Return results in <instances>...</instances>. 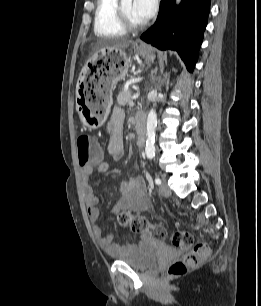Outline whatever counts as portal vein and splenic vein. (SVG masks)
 Instances as JSON below:
<instances>
[{
    "label": "portal vein and splenic vein",
    "mask_w": 261,
    "mask_h": 306,
    "mask_svg": "<svg viewBox=\"0 0 261 306\" xmlns=\"http://www.w3.org/2000/svg\"><path fill=\"white\" fill-rule=\"evenodd\" d=\"M138 97V93L136 94V95H134V96H132L131 97V99H136ZM130 105H133V102L132 101H130V103H129Z\"/></svg>",
    "instance_id": "portal-vein-and-splenic-vein-1"
}]
</instances>
